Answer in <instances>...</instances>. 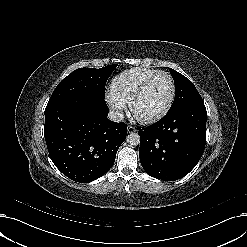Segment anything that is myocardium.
<instances>
[{
  "label": "myocardium",
  "instance_id": "f54148a6",
  "mask_svg": "<svg viewBox=\"0 0 247 247\" xmlns=\"http://www.w3.org/2000/svg\"><path fill=\"white\" fill-rule=\"evenodd\" d=\"M160 76H165L168 78L169 82H170V93L168 96V99L166 101V103L162 106V108L158 111H156L155 113L149 114V115H140L136 112L135 110V106L137 101L140 99V97L142 96L143 92L148 88V86L158 77ZM174 95H175V84L173 81L172 76L165 72V71H159L156 74H154L153 76H151L150 78H148L139 88L138 90L134 93V95L132 96V98L129 101V113L131 114V116L138 120L139 122L142 123H150L158 118H160L162 115H164L167 110L169 109V107L172 104V101L174 99Z\"/></svg>",
  "mask_w": 247,
  "mask_h": 247
}]
</instances>
